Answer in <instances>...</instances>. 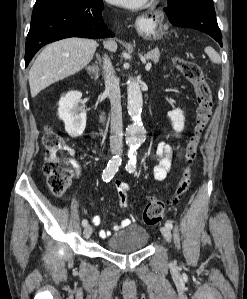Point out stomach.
<instances>
[{"mask_svg": "<svg viewBox=\"0 0 247 299\" xmlns=\"http://www.w3.org/2000/svg\"><path fill=\"white\" fill-rule=\"evenodd\" d=\"M139 33L146 39H160L163 36L161 28H155L147 20H140L137 23Z\"/></svg>", "mask_w": 247, "mask_h": 299, "instance_id": "stomach-1", "label": "stomach"}]
</instances>
